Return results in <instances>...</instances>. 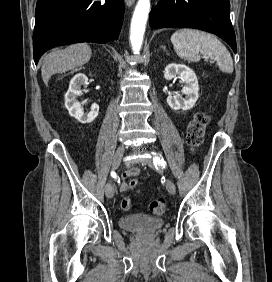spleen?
Returning <instances> with one entry per match:
<instances>
[{
  "label": "spleen",
  "instance_id": "3e777b00",
  "mask_svg": "<svg viewBox=\"0 0 272 282\" xmlns=\"http://www.w3.org/2000/svg\"><path fill=\"white\" fill-rule=\"evenodd\" d=\"M171 41L176 54L189 62H198L200 55L217 61L221 71L233 72V60L226 47L213 35L194 29H180Z\"/></svg>",
  "mask_w": 272,
  "mask_h": 282
}]
</instances>
